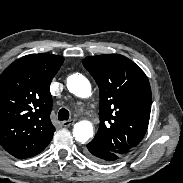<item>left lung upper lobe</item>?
Segmentation results:
<instances>
[{
    "instance_id": "left-lung-upper-lobe-1",
    "label": "left lung upper lobe",
    "mask_w": 183,
    "mask_h": 183,
    "mask_svg": "<svg viewBox=\"0 0 183 183\" xmlns=\"http://www.w3.org/2000/svg\"><path fill=\"white\" fill-rule=\"evenodd\" d=\"M83 65L100 91V124L92 141L123 156L146 133L152 100L149 81L140 67L119 54L89 56Z\"/></svg>"
}]
</instances>
